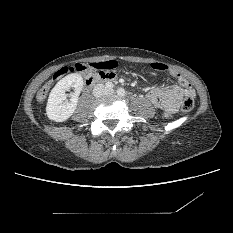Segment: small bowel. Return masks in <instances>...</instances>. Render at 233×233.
<instances>
[{
  "mask_svg": "<svg viewBox=\"0 0 233 233\" xmlns=\"http://www.w3.org/2000/svg\"><path fill=\"white\" fill-rule=\"evenodd\" d=\"M119 64L115 59H108L105 61L93 62L89 64L90 70H96L98 72H103L109 75L110 81L112 82L116 79V70ZM172 76L177 80L178 85H164L160 84L153 87L147 93V99L156 108L160 109L164 117H171L179 108L180 100L183 94L194 96V91H184L180 87L181 81H187L180 73L176 70H171Z\"/></svg>",
  "mask_w": 233,
  "mask_h": 233,
  "instance_id": "c3829d8e",
  "label": "small bowel"
}]
</instances>
